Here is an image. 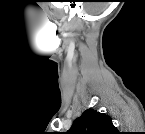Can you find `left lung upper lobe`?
Masks as SVG:
<instances>
[{"instance_id":"left-lung-upper-lobe-1","label":"left lung upper lobe","mask_w":145,"mask_h":134,"mask_svg":"<svg viewBox=\"0 0 145 134\" xmlns=\"http://www.w3.org/2000/svg\"><path fill=\"white\" fill-rule=\"evenodd\" d=\"M69 134H118L110 116L87 109L78 117L69 129Z\"/></svg>"}]
</instances>
